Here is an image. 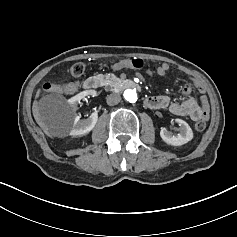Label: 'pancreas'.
Segmentation results:
<instances>
[{"label": "pancreas", "instance_id": "1", "mask_svg": "<svg viewBox=\"0 0 237 237\" xmlns=\"http://www.w3.org/2000/svg\"><path fill=\"white\" fill-rule=\"evenodd\" d=\"M102 83L105 85L106 88H110L111 90L117 88L121 84V80L116 77L114 74H105L103 76Z\"/></svg>", "mask_w": 237, "mask_h": 237}]
</instances>
